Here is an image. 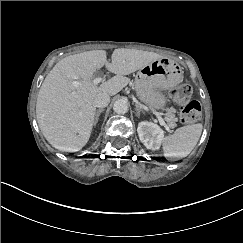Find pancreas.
Returning <instances> with one entry per match:
<instances>
[{"label": "pancreas", "instance_id": "1", "mask_svg": "<svg viewBox=\"0 0 243 243\" xmlns=\"http://www.w3.org/2000/svg\"><path fill=\"white\" fill-rule=\"evenodd\" d=\"M165 121H167L168 126L170 128H175L177 126L176 122L178 121V118L175 117V114L172 110L167 109V113L165 115Z\"/></svg>", "mask_w": 243, "mask_h": 243}]
</instances>
